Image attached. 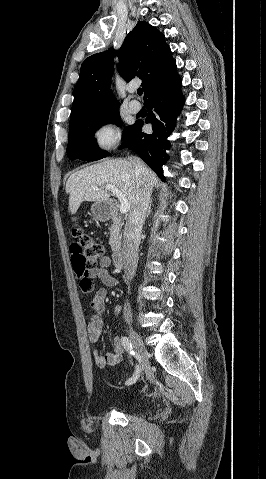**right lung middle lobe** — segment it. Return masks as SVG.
I'll list each match as a JSON object with an SVG mask.
<instances>
[{"label":"right lung middle lobe","instance_id":"dd1d6c3e","mask_svg":"<svg viewBox=\"0 0 266 479\" xmlns=\"http://www.w3.org/2000/svg\"><path fill=\"white\" fill-rule=\"evenodd\" d=\"M114 123L121 126L118 108L70 122L67 154L69 159L99 160L108 153L100 150L94 134L97 128Z\"/></svg>","mask_w":266,"mask_h":479}]
</instances>
